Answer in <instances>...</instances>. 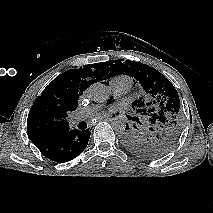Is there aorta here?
Instances as JSON below:
<instances>
[{
    "instance_id": "obj_1",
    "label": "aorta",
    "mask_w": 213,
    "mask_h": 213,
    "mask_svg": "<svg viewBox=\"0 0 213 213\" xmlns=\"http://www.w3.org/2000/svg\"><path fill=\"white\" fill-rule=\"evenodd\" d=\"M87 93H88V96L96 102L106 101L110 96L109 88L102 83L92 84L88 88ZM112 127L114 130L118 132H123L126 128V120L123 117L118 116L114 118Z\"/></svg>"
}]
</instances>
